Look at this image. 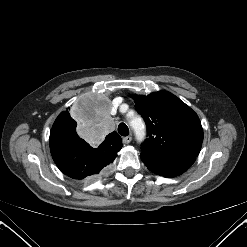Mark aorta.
<instances>
[{"mask_svg":"<svg viewBox=\"0 0 247 247\" xmlns=\"http://www.w3.org/2000/svg\"><path fill=\"white\" fill-rule=\"evenodd\" d=\"M131 125L134 128L136 138L138 141H142L145 137V125L141 118H135Z\"/></svg>","mask_w":247,"mask_h":247,"instance_id":"1","label":"aorta"}]
</instances>
